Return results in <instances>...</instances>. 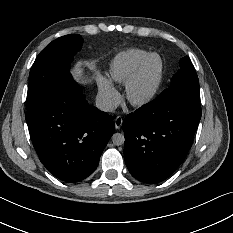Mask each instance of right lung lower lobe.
Returning a JSON list of instances; mask_svg holds the SVG:
<instances>
[{"instance_id": "98d812e1", "label": "right lung lower lobe", "mask_w": 233, "mask_h": 233, "mask_svg": "<svg viewBox=\"0 0 233 233\" xmlns=\"http://www.w3.org/2000/svg\"><path fill=\"white\" fill-rule=\"evenodd\" d=\"M25 118L42 164L69 183L95 171L115 129L114 118L90 106L72 77L27 110Z\"/></svg>"}]
</instances>
